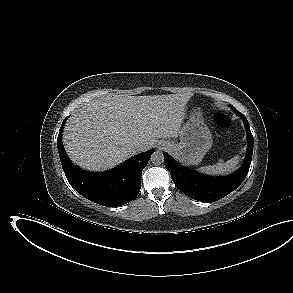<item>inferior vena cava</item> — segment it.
Masks as SVG:
<instances>
[{"label": "inferior vena cava", "mask_w": 293, "mask_h": 293, "mask_svg": "<svg viewBox=\"0 0 293 293\" xmlns=\"http://www.w3.org/2000/svg\"><path fill=\"white\" fill-rule=\"evenodd\" d=\"M137 149L139 150V151H145V150H148L150 147L148 146V145H142V144H137Z\"/></svg>", "instance_id": "inferior-vena-cava-1"}]
</instances>
